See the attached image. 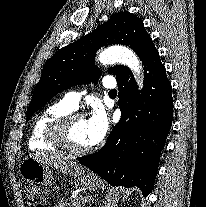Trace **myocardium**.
<instances>
[{
	"instance_id": "1",
	"label": "myocardium",
	"mask_w": 206,
	"mask_h": 207,
	"mask_svg": "<svg viewBox=\"0 0 206 207\" xmlns=\"http://www.w3.org/2000/svg\"><path fill=\"white\" fill-rule=\"evenodd\" d=\"M76 120H85V117L83 114L70 112L53 120L46 130V137L52 145H54L60 152L74 157L86 155L93 150L91 146L76 149L70 145L66 133L70 125Z\"/></svg>"
}]
</instances>
